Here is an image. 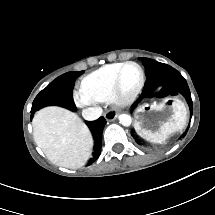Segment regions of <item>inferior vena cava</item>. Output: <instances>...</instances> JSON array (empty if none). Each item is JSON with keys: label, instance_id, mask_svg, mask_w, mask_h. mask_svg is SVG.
Masks as SVG:
<instances>
[{"label": "inferior vena cava", "instance_id": "obj_1", "mask_svg": "<svg viewBox=\"0 0 215 215\" xmlns=\"http://www.w3.org/2000/svg\"><path fill=\"white\" fill-rule=\"evenodd\" d=\"M102 111L100 106L86 107L82 111V116L88 121H95L101 116Z\"/></svg>", "mask_w": 215, "mask_h": 215}]
</instances>
